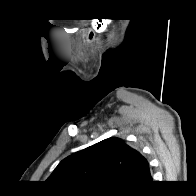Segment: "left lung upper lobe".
I'll return each mask as SVG.
<instances>
[{"instance_id":"5c2ea615","label":"left lung upper lobe","mask_w":196,"mask_h":196,"mask_svg":"<svg viewBox=\"0 0 196 196\" xmlns=\"http://www.w3.org/2000/svg\"><path fill=\"white\" fill-rule=\"evenodd\" d=\"M150 175L147 159L119 138H108L63 159L48 180L58 188L127 193Z\"/></svg>"}]
</instances>
